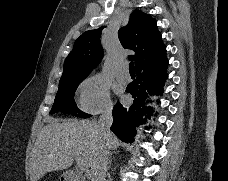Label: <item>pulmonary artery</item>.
I'll return each mask as SVG.
<instances>
[{"label":"pulmonary artery","mask_w":228,"mask_h":181,"mask_svg":"<svg viewBox=\"0 0 228 181\" xmlns=\"http://www.w3.org/2000/svg\"><path fill=\"white\" fill-rule=\"evenodd\" d=\"M117 79H129V74H117Z\"/></svg>","instance_id":"1"}]
</instances>
